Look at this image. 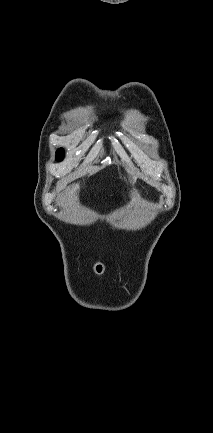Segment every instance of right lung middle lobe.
Listing matches in <instances>:
<instances>
[{
    "mask_svg": "<svg viewBox=\"0 0 213 433\" xmlns=\"http://www.w3.org/2000/svg\"><path fill=\"white\" fill-rule=\"evenodd\" d=\"M63 159V149H59L57 152H56V160L57 161H61Z\"/></svg>",
    "mask_w": 213,
    "mask_h": 433,
    "instance_id": "right-lung-middle-lobe-1",
    "label": "right lung middle lobe"
}]
</instances>
